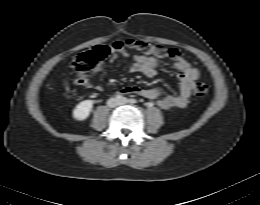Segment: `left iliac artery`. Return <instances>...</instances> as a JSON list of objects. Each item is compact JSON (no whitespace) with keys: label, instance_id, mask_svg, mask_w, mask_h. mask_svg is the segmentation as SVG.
Wrapping results in <instances>:
<instances>
[{"label":"left iliac artery","instance_id":"44dca946","mask_svg":"<svg viewBox=\"0 0 260 205\" xmlns=\"http://www.w3.org/2000/svg\"><path fill=\"white\" fill-rule=\"evenodd\" d=\"M130 102L134 104V103H136L137 101H136V99H130Z\"/></svg>","mask_w":260,"mask_h":205}]
</instances>
